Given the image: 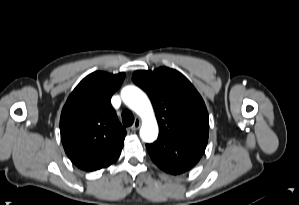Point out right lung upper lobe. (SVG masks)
<instances>
[{"mask_svg":"<svg viewBox=\"0 0 299 205\" xmlns=\"http://www.w3.org/2000/svg\"><path fill=\"white\" fill-rule=\"evenodd\" d=\"M124 78L125 73H91L77 85L62 109L60 132L64 150L84 171L105 168L120 156L126 130L110 100Z\"/></svg>","mask_w":299,"mask_h":205,"instance_id":"obj_1","label":"right lung upper lobe"}]
</instances>
